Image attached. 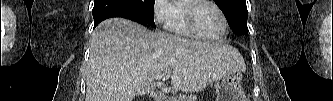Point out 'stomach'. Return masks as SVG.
Here are the masks:
<instances>
[{"instance_id":"obj_1","label":"stomach","mask_w":333,"mask_h":101,"mask_svg":"<svg viewBox=\"0 0 333 101\" xmlns=\"http://www.w3.org/2000/svg\"><path fill=\"white\" fill-rule=\"evenodd\" d=\"M241 80L240 71L228 73L215 80L216 101H247Z\"/></svg>"}]
</instances>
